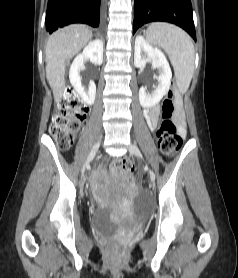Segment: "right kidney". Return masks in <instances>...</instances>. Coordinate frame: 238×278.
<instances>
[{"mask_svg":"<svg viewBox=\"0 0 238 278\" xmlns=\"http://www.w3.org/2000/svg\"><path fill=\"white\" fill-rule=\"evenodd\" d=\"M90 60L95 65H101L103 62V43L101 40L96 39L90 42L73 60L70 71L69 79L75 91L80 95L82 100L92 105L95 101L96 85L93 81L89 83L88 89L85 90L81 83L80 71L84 68V60Z\"/></svg>","mask_w":238,"mask_h":278,"instance_id":"ca27d5eb","label":"right kidney"}]
</instances>
